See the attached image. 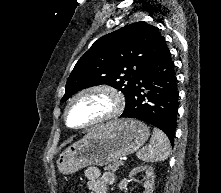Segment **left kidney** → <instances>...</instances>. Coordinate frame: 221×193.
<instances>
[{
	"mask_svg": "<svg viewBox=\"0 0 221 193\" xmlns=\"http://www.w3.org/2000/svg\"><path fill=\"white\" fill-rule=\"evenodd\" d=\"M138 173H145L146 174V180L144 183L145 191L143 193H152L154 188V170L151 166H138L136 168H133L131 172L129 173V178H132L134 175ZM128 180L124 178L119 183V189L123 190L127 187Z\"/></svg>",
	"mask_w": 221,
	"mask_h": 193,
	"instance_id": "1",
	"label": "left kidney"
}]
</instances>
